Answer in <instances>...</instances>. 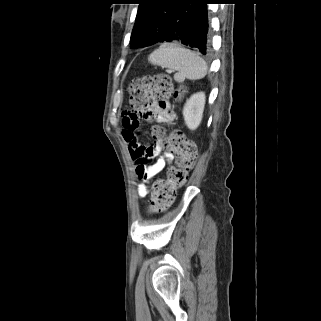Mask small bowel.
<instances>
[{
	"instance_id": "c3829d8e",
	"label": "small bowel",
	"mask_w": 321,
	"mask_h": 321,
	"mask_svg": "<svg viewBox=\"0 0 321 321\" xmlns=\"http://www.w3.org/2000/svg\"><path fill=\"white\" fill-rule=\"evenodd\" d=\"M174 119V110L164 100L157 101L143 110L128 111L123 116L121 133L135 164V173L142 180L137 188L138 195L141 198L148 195V185L154 177L160 174L166 166H172L174 155L172 152L162 153L163 143L156 136V126L151 129V134L156 138L155 144L152 146L141 144L136 132L143 120L172 124Z\"/></svg>"
}]
</instances>
